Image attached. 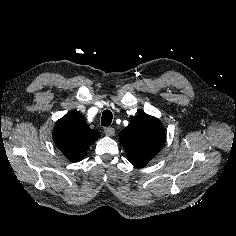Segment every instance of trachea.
I'll list each match as a JSON object with an SVG mask.
<instances>
[{"instance_id":"1","label":"trachea","mask_w":236,"mask_h":236,"mask_svg":"<svg viewBox=\"0 0 236 236\" xmlns=\"http://www.w3.org/2000/svg\"><path fill=\"white\" fill-rule=\"evenodd\" d=\"M113 115L110 110H105L102 114L101 124L102 126H109L112 122Z\"/></svg>"}]
</instances>
